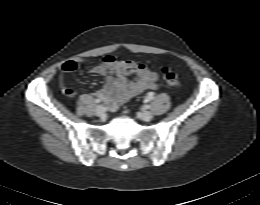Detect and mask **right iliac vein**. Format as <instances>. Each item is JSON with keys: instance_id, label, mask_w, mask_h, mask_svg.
I'll return each mask as SVG.
<instances>
[{"instance_id": "obj_1", "label": "right iliac vein", "mask_w": 260, "mask_h": 205, "mask_svg": "<svg viewBox=\"0 0 260 205\" xmlns=\"http://www.w3.org/2000/svg\"><path fill=\"white\" fill-rule=\"evenodd\" d=\"M96 115L99 117H103L105 115V108L102 105H98L96 107Z\"/></svg>"}]
</instances>
